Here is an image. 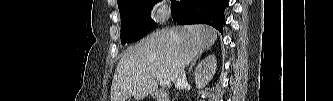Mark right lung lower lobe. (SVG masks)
Segmentation results:
<instances>
[{"instance_id":"obj_1","label":"right lung lower lobe","mask_w":333,"mask_h":101,"mask_svg":"<svg viewBox=\"0 0 333 101\" xmlns=\"http://www.w3.org/2000/svg\"><path fill=\"white\" fill-rule=\"evenodd\" d=\"M227 4L228 0H173L171 10L179 24H208L223 33Z\"/></svg>"}]
</instances>
